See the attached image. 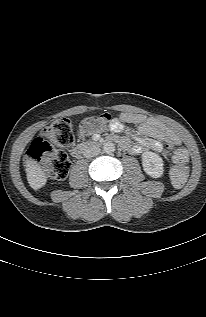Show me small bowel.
Segmentation results:
<instances>
[{"label": "small bowel", "instance_id": "c3829d8e", "mask_svg": "<svg viewBox=\"0 0 206 317\" xmlns=\"http://www.w3.org/2000/svg\"><path fill=\"white\" fill-rule=\"evenodd\" d=\"M126 124L136 125L140 133L134 145L127 137L122 138L121 145L131 153L140 154L152 150L169 156L168 145L179 143V138L161 122L140 113L123 112L111 120L109 127L112 132L118 133L124 130Z\"/></svg>", "mask_w": 206, "mask_h": 317}]
</instances>
